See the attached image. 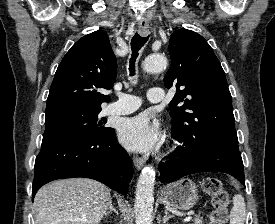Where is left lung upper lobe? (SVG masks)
<instances>
[{
  "label": "left lung upper lobe",
  "mask_w": 275,
  "mask_h": 224,
  "mask_svg": "<svg viewBox=\"0 0 275 224\" xmlns=\"http://www.w3.org/2000/svg\"><path fill=\"white\" fill-rule=\"evenodd\" d=\"M169 53L171 66L164 84L177 89L169 103L172 134L189 144L238 143L225 73L207 41L181 28L171 34Z\"/></svg>",
  "instance_id": "1"
}]
</instances>
